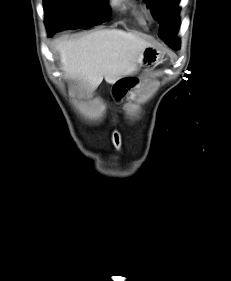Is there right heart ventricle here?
Masks as SVG:
<instances>
[{
    "label": "right heart ventricle",
    "mask_w": 231,
    "mask_h": 281,
    "mask_svg": "<svg viewBox=\"0 0 231 281\" xmlns=\"http://www.w3.org/2000/svg\"><path fill=\"white\" fill-rule=\"evenodd\" d=\"M113 4L119 7H128L129 2L127 0H112Z\"/></svg>",
    "instance_id": "right-heart-ventricle-1"
}]
</instances>
